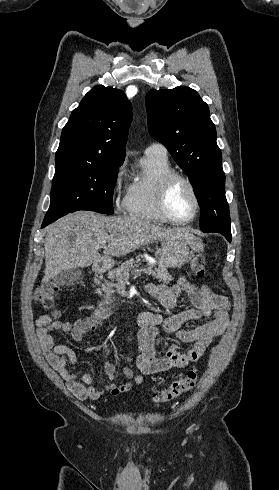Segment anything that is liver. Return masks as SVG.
Wrapping results in <instances>:
<instances>
[{"mask_svg":"<svg viewBox=\"0 0 279 490\" xmlns=\"http://www.w3.org/2000/svg\"><path fill=\"white\" fill-rule=\"evenodd\" d=\"M69 232H75V240H68ZM183 238L193 250L200 252L199 238L188 228H161L145 218H107L95 212H74L60 218L48 228L44 240L45 270L42 282L71 268H94L109 256H126L151 242H168L171 238ZM106 242V244H104ZM103 248V256L98 250ZM105 264V262H104Z\"/></svg>","mask_w":279,"mask_h":490,"instance_id":"obj_1","label":"liver"}]
</instances>
